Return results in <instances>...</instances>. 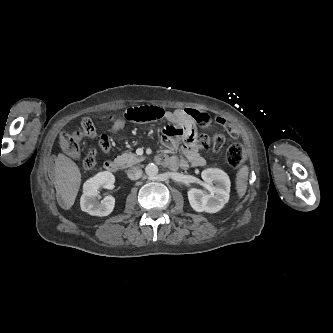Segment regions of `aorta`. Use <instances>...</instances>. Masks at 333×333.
I'll use <instances>...</instances> for the list:
<instances>
[{
	"label": "aorta",
	"mask_w": 333,
	"mask_h": 333,
	"mask_svg": "<svg viewBox=\"0 0 333 333\" xmlns=\"http://www.w3.org/2000/svg\"><path fill=\"white\" fill-rule=\"evenodd\" d=\"M158 171V167L153 163H150L145 167V172L149 177H155L158 174Z\"/></svg>",
	"instance_id": "762f6f07"
}]
</instances>
